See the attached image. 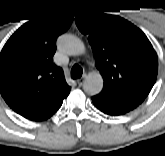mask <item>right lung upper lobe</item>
Segmentation results:
<instances>
[{"instance_id":"cb5924a9","label":"right lung upper lobe","mask_w":165,"mask_h":156,"mask_svg":"<svg viewBox=\"0 0 165 156\" xmlns=\"http://www.w3.org/2000/svg\"><path fill=\"white\" fill-rule=\"evenodd\" d=\"M72 21L70 16H52L24 24L0 53V93L15 112L29 120L48 119L70 93L53 55L57 37Z\"/></svg>"}]
</instances>
